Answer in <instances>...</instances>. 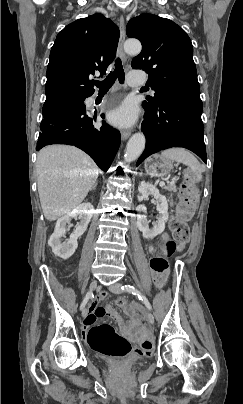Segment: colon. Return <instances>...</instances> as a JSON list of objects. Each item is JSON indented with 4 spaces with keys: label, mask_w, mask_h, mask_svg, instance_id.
<instances>
[{
    "label": "colon",
    "mask_w": 243,
    "mask_h": 404,
    "mask_svg": "<svg viewBox=\"0 0 243 404\" xmlns=\"http://www.w3.org/2000/svg\"><path fill=\"white\" fill-rule=\"evenodd\" d=\"M194 185V176L187 172L184 177L180 195L181 199L177 207L176 216L170 222L173 237L161 246L160 252L150 261L152 279L157 288H162L167 281L169 275L168 257L177 250L182 249L188 242L189 229L187 220L193 213L196 205ZM116 305L127 313H133V308L123 299H118ZM87 341L94 351L109 357H123L131 350L130 343L118 334L109 323L91 327L87 333ZM152 348L153 342L151 340L147 339L141 343V352L144 355H150Z\"/></svg>",
    "instance_id": "1"
}]
</instances>
